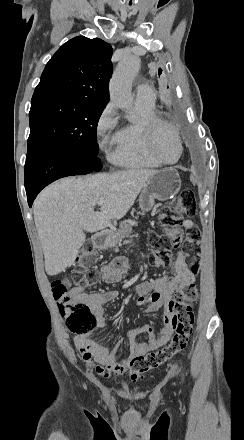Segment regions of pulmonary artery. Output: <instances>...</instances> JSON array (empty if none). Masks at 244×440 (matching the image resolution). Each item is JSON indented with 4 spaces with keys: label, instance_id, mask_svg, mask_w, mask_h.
Returning a JSON list of instances; mask_svg holds the SVG:
<instances>
[{
    "label": "pulmonary artery",
    "instance_id": "1",
    "mask_svg": "<svg viewBox=\"0 0 244 440\" xmlns=\"http://www.w3.org/2000/svg\"><path fill=\"white\" fill-rule=\"evenodd\" d=\"M139 90L136 94L137 102H155L156 94L153 90H149L150 85L148 82H140L138 85Z\"/></svg>",
    "mask_w": 244,
    "mask_h": 440
}]
</instances>
